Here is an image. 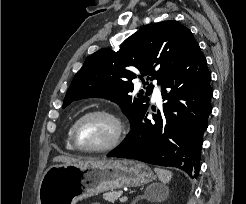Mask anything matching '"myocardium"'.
I'll return each instance as SVG.
<instances>
[{"label":"myocardium","mask_w":246,"mask_h":204,"mask_svg":"<svg viewBox=\"0 0 246 204\" xmlns=\"http://www.w3.org/2000/svg\"><path fill=\"white\" fill-rule=\"evenodd\" d=\"M93 116H102L105 118L110 119L115 126V132L113 137L110 139V141L108 143H106L103 146L100 147H95V148H84L82 146L79 145L78 141H77V130L79 125L81 124L82 121H84L85 119L89 118V117H93ZM125 125L122 121V119L114 112L110 111V110H106V109H95V110H91L88 111L84 114H82L72 125L71 128V142L74 146L75 149L81 151V152H85V153H105V152H109L113 149H115L116 147H118L120 145V143L122 142L124 136H125Z\"/></svg>","instance_id":"1"}]
</instances>
